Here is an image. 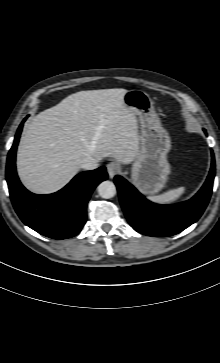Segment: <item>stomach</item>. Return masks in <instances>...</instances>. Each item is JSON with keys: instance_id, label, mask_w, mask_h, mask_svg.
I'll list each match as a JSON object with an SVG mask.
<instances>
[{"instance_id": "0dacf381", "label": "stomach", "mask_w": 220, "mask_h": 363, "mask_svg": "<svg viewBox=\"0 0 220 363\" xmlns=\"http://www.w3.org/2000/svg\"><path fill=\"white\" fill-rule=\"evenodd\" d=\"M123 102L139 117L140 150L133 163L131 179L144 194L162 190L170 174L167 154L171 148L168 132L155 113L149 95L141 90H128Z\"/></svg>"}]
</instances>
